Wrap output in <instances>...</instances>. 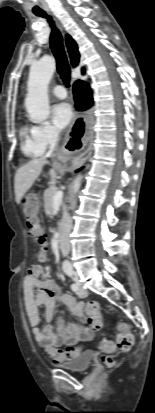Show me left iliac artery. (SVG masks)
Returning a JSON list of instances; mask_svg holds the SVG:
<instances>
[{"mask_svg":"<svg viewBox=\"0 0 155 413\" xmlns=\"http://www.w3.org/2000/svg\"><path fill=\"white\" fill-rule=\"evenodd\" d=\"M66 274H67L69 277L73 278V279L75 278V273H74V271H72V270L66 271ZM71 289H72L74 292H76V291L78 290V285H77V283L71 284Z\"/></svg>","mask_w":155,"mask_h":413,"instance_id":"obj_1","label":"left iliac artery"}]
</instances>
